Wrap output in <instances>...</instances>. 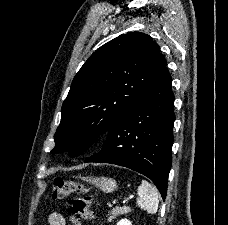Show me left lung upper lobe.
Segmentation results:
<instances>
[{
    "instance_id": "obj_1",
    "label": "left lung upper lobe",
    "mask_w": 228,
    "mask_h": 225,
    "mask_svg": "<svg viewBox=\"0 0 228 225\" xmlns=\"http://www.w3.org/2000/svg\"><path fill=\"white\" fill-rule=\"evenodd\" d=\"M160 47L141 32L121 34L98 48L73 79L61 109L52 153L78 156L107 133L159 78Z\"/></svg>"
}]
</instances>
